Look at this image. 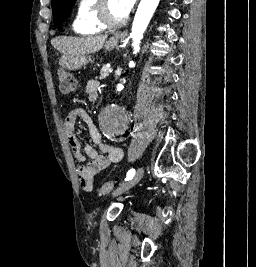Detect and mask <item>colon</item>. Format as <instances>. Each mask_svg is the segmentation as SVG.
Here are the masks:
<instances>
[{
	"label": "colon",
	"mask_w": 256,
	"mask_h": 267,
	"mask_svg": "<svg viewBox=\"0 0 256 267\" xmlns=\"http://www.w3.org/2000/svg\"><path fill=\"white\" fill-rule=\"evenodd\" d=\"M58 80L60 90L67 95L72 94L77 88V81L73 74L68 70L59 71ZM115 187L116 183L114 181L105 182L97 187L96 192L100 196H104L110 192H113Z\"/></svg>",
	"instance_id": "1"
}]
</instances>
